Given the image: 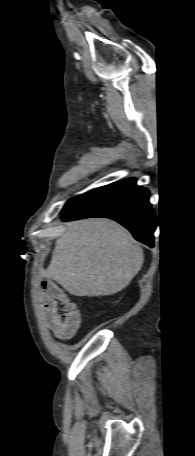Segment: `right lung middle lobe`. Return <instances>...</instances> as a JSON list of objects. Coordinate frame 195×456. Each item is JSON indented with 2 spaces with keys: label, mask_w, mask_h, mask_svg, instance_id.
Here are the masks:
<instances>
[{
  "label": "right lung middle lobe",
  "mask_w": 195,
  "mask_h": 456,
  "mask_svg": "<svg viewBox=\"0 0 195 456\" xmlns=\"http://www.w3.org/2000/svg\"><path fill=\"white\" fill-rule=\"evenodd\" d=\"M106 186H103V187H99V188H96V189H93L83 195H79V196H76V197H73L71 198L64 206L62 212H66V211H69L73 208H75L76 206L84 203L85 201H87L89 198H91L92 196H94L95 194H97L99 191H101L103 188H105Z\"/></svg>",
  "instance_id": "obj_1"
}]
</instances>
